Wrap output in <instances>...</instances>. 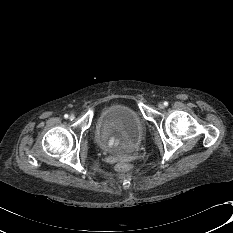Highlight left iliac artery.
Returning a JSON list of instances; mask_svg holds the SVG:
<instances>
[{
	"label": "left iliac artery",
	"mask_w": 233,
	"mask_h": 233,
	"mask_svg": "<svg viewBox=\"0 0 233 233\" xmlns=\"http://www.w3.org/2000/svg\"><path fill=\"white\" fill-rule=\"evenodd\" d=\"M164 105H165V106H168V102H167V101H165V102H164Z\"/></svg>",
	"instance_id": "44dca946"
}]
</instances>
